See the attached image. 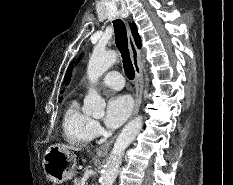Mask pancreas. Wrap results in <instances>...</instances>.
<instances>
[{
  "mask_svg": "<svg viewBox=\"0 0 233 185\" xmlns=\"http://www.w3.org/2000/svg\"><path fill=\"white\" fill-rule=\"evenodd\" d=\"M74 185H82V181L80 178H75L74 179Z\"/></svg>",
  "mask_w": 233,
  "mask_h": 185,
  "instance_id": "cf45deb5",
  "label": "pancreas"
}]
</instances>
